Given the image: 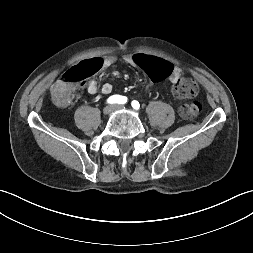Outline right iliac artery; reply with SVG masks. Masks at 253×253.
Masks as SVG:
<instances>
[{"label":"right iliac artery","instance_id":"1","mask_svg":"<svg viewBox=\"0 0 253 253\" xmlns=\"http://www.w3.org/2000/svg\"><path fill=\"white\" fill-rule=\"evenodd\" d=\"M127 102V97L121 95H113L107 99L109 104H125Z\"/></svg>","mask_w":253,"mask_h":253}]
</instances>
